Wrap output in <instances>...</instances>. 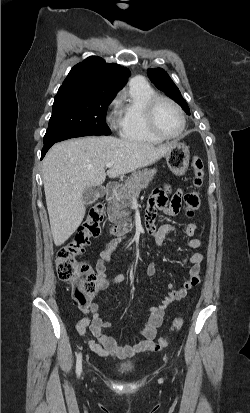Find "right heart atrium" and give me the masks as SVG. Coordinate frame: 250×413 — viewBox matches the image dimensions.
Masks as SVG:
<instances>
[{"instance_id":"1","label":"right heart atrium","mask_w":250,"mask_h":413,"mask_svg":"<svg viewBox=\"0 0 250 413\" xmlns=\"http://www.w3.org/2000/svg\"><path fill=\"white\" fill-rule=\"evenodd\" d=\"M118 104H119L118 99L115 98L111 101V103L108 106L106 120L112 129H115L119 122L118 117H117Z\"/></svg>"}]
</instances>
